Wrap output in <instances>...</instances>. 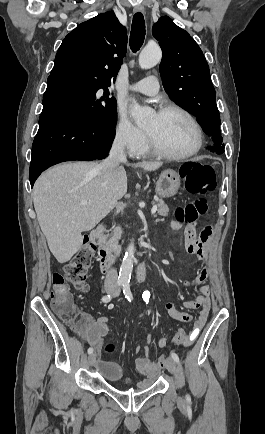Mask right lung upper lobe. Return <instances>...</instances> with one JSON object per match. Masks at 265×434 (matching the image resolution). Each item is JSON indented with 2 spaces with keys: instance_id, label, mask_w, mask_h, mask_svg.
I'll return each instance as SVG.
<instances>
[{
  "instance_id": "1",
  "label": "right lung upper lobe",
  "mask_w": 265,
  "mask_h": 434,
  "mask_svg": "<svg viewBox=\"0 0 265 434\" xmlns=\"http://www.w3.org/2000/svg\"><path fill=\"white\" fill-rule=\"evenodd\" d=\"M127 31L113 11L81 23L62 41L49 77L84 75L115 81L126 54Z\"/></svg>"
}]
</instances>
